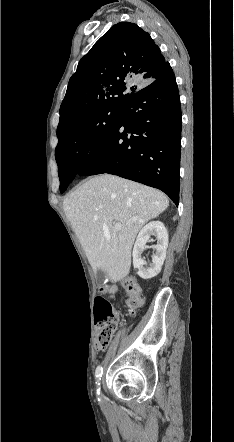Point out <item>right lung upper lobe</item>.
<instances>
[{
  "label": "right lung upper lobe",
  "mask_w": 234,
  "mask_h": 442,
  "mask_svg": "<svg viewBox=\"0 0 234 442\" xmlns=\"http://www.w3.org/2000/svg\"><path fill=\"white\" fill-rule=\"evenodd\" d=\"M168 64L150 35L136 24L113 25L79 61L70 78L57 137L95 111L122 106Z\"/></svg>",
  "instance_id": "1"
}]
</instances>
